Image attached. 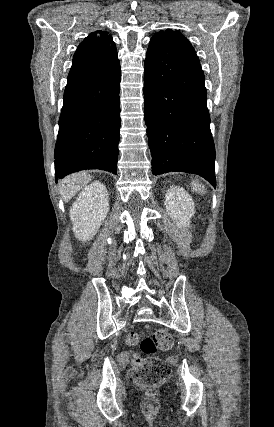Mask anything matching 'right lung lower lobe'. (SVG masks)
Listing matches in <instances>:
<instances>
[{
  "label": "right lung lower lobe",
  "mask_w": 274,
  "mask_h": 427,
  "mask_svg": "<svg viewBox=\"0 0 274 427\" xmlns=\"http://www.w3.org/2000/svg\"><path fill=\"white\" fill-rule=\"evenodd\" d=\"M119 61L67 82L55 146V179L85 169L117 174L120 130Z\"/></svg>",
  "instance_id": "right-lung-lower-lobe-1"
}]
</instances>
